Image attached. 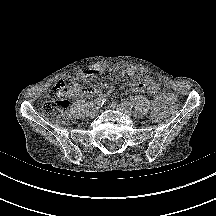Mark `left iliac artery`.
I'll use <instances>...</instances> for the list:
<instances>
[{
  "label": "left iliac artery",
  "mask_w": 216,
  "mask_h": 216,
  "mask_svg": "<svg viewBox=\"0 0 216 216\" xmlns=\"http://www.w3.org/2000/svg\"><path fill=\"white\" fill-rule=\"evenodd\" d=\"M121 105L124 106V107H126V108H130V109L133 108V104L131 102L126 101V100H123L121 102Z\"/></svg>",
  "instance_id": "1"
}]
</instances>
